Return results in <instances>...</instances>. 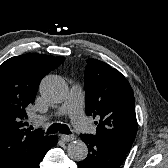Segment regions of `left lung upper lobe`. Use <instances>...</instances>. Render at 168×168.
<instances>
[{
  "instance_id": "left-lung-upper-lobe-1",
  "label": "left lung upper lobe",
  "mask_w": 168,
  "mask_h": 168,
  "mask_svg": "<svg viewBox=\"0 0 168 168\" xmlns=\"http://www.w3.org/2000/svg\"><path fill=\"white\" fill-rule=\"evenodd\" d=\"M86 114L98 116L95 136L129 151L137 133L135 99L125 77L90 58L84 75Z\"/></svg>"
}]
</instances>
